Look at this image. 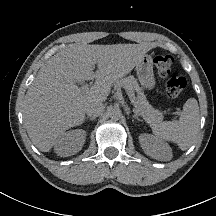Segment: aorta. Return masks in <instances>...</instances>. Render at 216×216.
I'll use <instances>...</instances> for the list:
<instances>
[{"instance_id":"obj_1","label":"aorta","mask_w":216,"mask_h":216,"mask_svg":"<svg viewBox=\"0 0 216 216\" xmlns=\"http://www.w3.org/2000/svg\"><path fill=\"white\" fill-rule=\"evenodd\" d=\"M110 118L112 120H119L122 117V111L119 108H113L110 113Z\"/></svg>"}]
</instances>
